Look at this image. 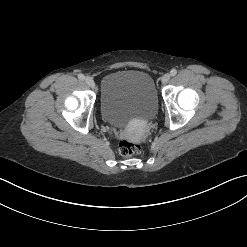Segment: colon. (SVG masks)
I'll use <instances>...</instances> for the list:
<instances>
[{
  "label": "colon",
  "mask_w": 247,
  "mask_h": 247,
  "mask_svg": "<svg viewBox=\"0 0 247 247\" xmlns=\"http://www.w3.org/2000/svg\"><path fill=\"white\" fill-rule=\"evenodd\" d=\"M141 151V146L136 142L123 140L119 143L118 152L121 156L130 157L138 154Z\"/></svg>",
  "instance_id": "5ec220e1"
}]
</instances>
